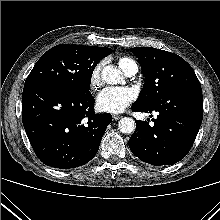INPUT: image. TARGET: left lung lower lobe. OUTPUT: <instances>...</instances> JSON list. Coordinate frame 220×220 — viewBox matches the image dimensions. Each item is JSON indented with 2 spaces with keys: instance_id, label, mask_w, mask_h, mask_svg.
I'll return each instance as SVG.
<instances>
[{
  "instance_id": "obj_1",
  "label": "left lung lower lobe",
  "mask_w": 220,
  "mask_h": 220,
  "mask_svg": "<svg viewBox=\"0 0 220 220\" xmlns=\"http://www.w3.org/2000/svg\"><path fill=\"white\" fill-rule=\"evenodd\" d=\"M132 110L159 113L156 119L136 122L129 139L132 153L155 166L172 165L183 159L191 149L203 118L201 87H191L170 94L153 106L133 104Z\"/></svg>"
}]
</instances>
